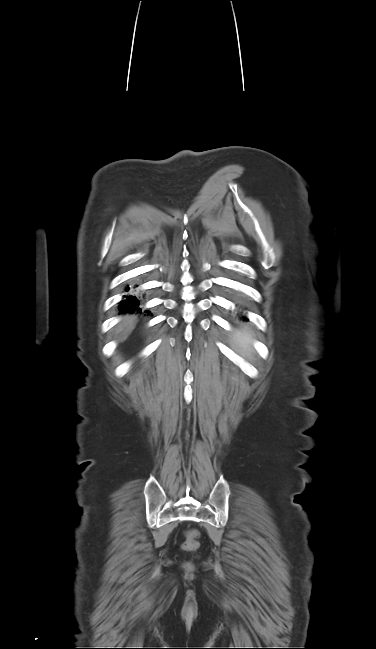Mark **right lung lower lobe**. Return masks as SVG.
Instances as JSON below:
<instances>
[{"label": "right lung lower lobe", "instance_id": "98d812e1", "mask_svg": "<svg viewBox=\"0 0 376 649\" xmlns=\"http://www.w3.org/2000/svg\"><path fill=\"white\" fill-rule=\"evenodd\" d=\"M130 290L129 287L125 289L126 292ZM126 299L122 300L119 305V309L123 312H134L135 309L139 306V300L133 295L124 296Z\"/></svg>", "mask_w": 376, "mask_h": 649}]
</instances>
